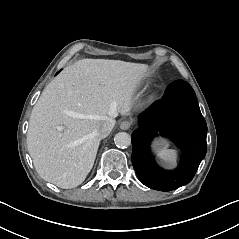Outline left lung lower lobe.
I'll return each instance as SVG.
<instances>
[{
  "mask_svg": "<svg viewBox=\"0 0 239 239\" xmlns=\"http://www.w3.org/2000/svg\"><path fill=\"white\" fill-rule=\"evenodd\" d=\"M132 138V164L141 182L149 188L171 191L189 183L206 155L207 124L189 83H171L164 98L138 118ZM157 133L168 136L183 151L180 165L172 171L160 168L149 151Z\"/></svg>",
  "mask_w": 239,
  "mask_h": 239,
  "instance_id": "0a47b994",
  "label": "left lung lower lobe"
}]
</instances>
